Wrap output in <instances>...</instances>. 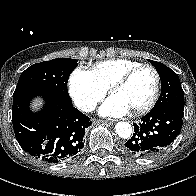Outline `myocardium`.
Returning <instances> with one entry per match:
<instances>
[{"label": "myocardium", "mask_w": 196, "mask_h": 196, "mask_svg": "<svg viewBox=\"0 0 196 196\" xmlns=\"http://www.w3.org/2000/svg\"><path fill=\"white\" fill-rule=\"evenodd\" d=\"M143 69H149L153 72V74L155 76V87H154L153 94H152L151 98L149 99V101L146 104H144L143 106L132 110V113L134 115L144 114V113L150 111L154 107V105L156 104V102L159 98L160 89H161V76H160V73L158 72V70L150 64H140V65L130 69L129 71L124 73L122 76H120L109 88V94L112 96L114 92H116L120 88L124 87L132 79V77L135 74H137L139 71H141Z\"/></svg>", "instance_id": "myocardium-1"}]
</instances>
